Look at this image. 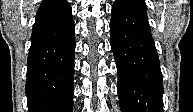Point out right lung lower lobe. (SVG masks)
Masks as SVG:
<instances>
[{
    "instance_id": "obj_1",
    "label": "right lung lower lobe",
    "mask_w": 193,
    "mask_h": 112,
    "mask_svg": "<svg viewBox=\"0 0 193 112\" xmlns=\"http://www.w3.org/2000/svg\"><path fill=\"white\" fill-rule=\"evenodd\" d=\"M75 27L67 0L41 3L27 60L28 112H72Z\"/></svg>"
}]
</instances>
